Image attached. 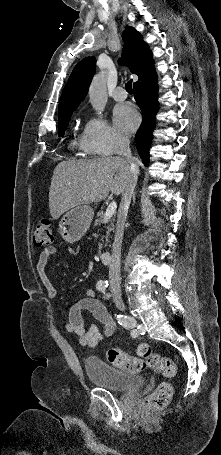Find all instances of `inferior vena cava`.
Here are the masks:
<instances>
[{"label": "inferior vena cava", "instance_id": "602c4592", "mask_svg": "<svg viewBox=\"0 0 221 455\" xmlns=\"http://www.w3.org/2000/svg\"><path fill=\"white\" fill-rule=\"evenodd\" d=\"M118 155L124 157L128 161L127 168V184L122 193V199L117 215L116 232L112 245L111 263L109 266V282L112 288H120V264H121V246L124 234V224L126 221L131 198L138 179L139 169L131 155L128 137L118 136Z\"/></svg>", "mask_w": 221, "mask_h": 455}]
</instances>
